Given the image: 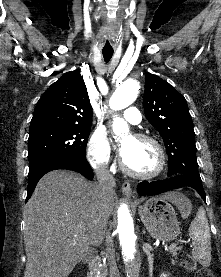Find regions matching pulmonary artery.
<instances>
[{
    "label": "pulmonary artery",
    "instance_id": "1",
    "mask_svg": "<svg viewBox=\"0 0 221 277\" xmlns=\"http://www.w3.org/2000/svg\"><path fill=\"white\" fill-rule=\"evenodd\" d=\"M124 119L130 124L136 125L141 122V113L136 107H128L123 113Z\"/></svg>",
    "mask_w": 221,
    "mask_h": 277
}]
</instances>
